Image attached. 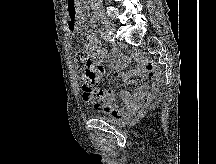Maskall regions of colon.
<instances>
[{"instance_id": "obj_1", "label": "colon", "mask_w": 216, "mask_h": 164, "mask_svg": "<svg viewBox=\"0 0 216 164\" xmlns=\"http://www.w3.org/2000/svg\"><path fill=\"white\" fill-rule=\"evenodd\" d=\"M78 64L83 69V87L87 89L95 88L100 80V71L96 67H94L90 62L84 60L83 58L78 59ZM147 68L152 69V64L149 63L147 65Z\"/></svg>"}]
</instances>
